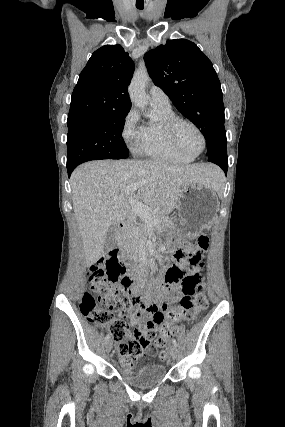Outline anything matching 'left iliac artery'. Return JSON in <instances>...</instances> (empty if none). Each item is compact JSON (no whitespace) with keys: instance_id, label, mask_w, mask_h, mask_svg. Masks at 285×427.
<instances>
[{"instance_id":"1","label":"left iliac artery","mask_w":285,"mask_h":427,"mask_svg":"<svg viewBox=\"0 0 285 427\" xmlns=\"http://www.w3.org/2000/svg\"><path fill=\"white\" fill-rule=\"evenodd\" d=\"M172 342H173L174 346L178 347V343H177V341L175 339H172Z\"/></svg>"}]
</instances>
